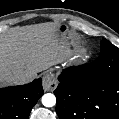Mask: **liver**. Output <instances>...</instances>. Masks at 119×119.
<instances>
[{
	"instance_id": "obj_1",
	"label": "liver",
	"mask_w": 119,
	"mask_h": 119,
	"mask_svg": "<svg viewBox=\"0 0 119 119\" xmlns=\"http://www.w3.org/2000/svg\"><path fill=\"white\" fill-rule=\"evenodd\" d=\"M58 23H42L0 37V86L13 84L16 76L41 72L63 60L64 43Z\"/></svg>"
}]
</instances>
